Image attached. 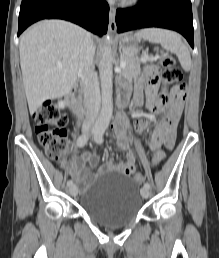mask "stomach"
<instances>
[{"mask_svg":"<svg viewBox=\"0 0 219 258\" xmlns=\"http://www.w3.org/2000/svg\"><path fill=\"white\" fill-rule=\"evenodd\" d=\"M120 47L126 57H134L139 52L137 41L132 36H124L121 39Z\"/></svg>","mask_w":219,"mask_h":258,"instance_id":"stomach-1","label":"stomach"}]
</instances>
